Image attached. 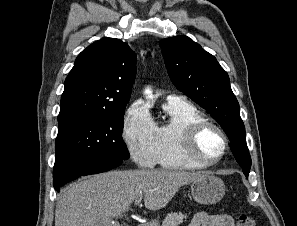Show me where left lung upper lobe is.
Listing matches in <instances>:
<instances>
[{"mask_svg":"<svg viewBox=\"0 0 297 226\" xmlns=\"http://www.w3.org/2000/svg\"><path fill=\"white\" fill-rule=\"evenodd\" d=\"M160 46L173 84L221 125L236 161L248 177L251 158L245 127L227 72L213 55L187 36L163 39Z\"/></svg>","mask_w":297,"mask_h":226,"instance_id":"left-lung-upper-lobe-1","label":"left lung upper lobe"}]
</instances>
